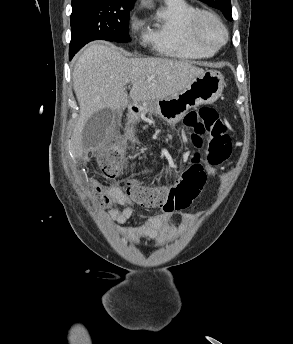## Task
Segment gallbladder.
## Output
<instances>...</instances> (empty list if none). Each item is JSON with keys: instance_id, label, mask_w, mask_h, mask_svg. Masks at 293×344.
Segmentation results:
<instances>
[{"instance_id": "bac80fb5", "label": "gallbladder", "mask_w": 293, "mask_h": 344, "mask_svg": "<svg viewBox=\"0 0 293 344\" xmlns=\"http://www.w3.org/2000/svg\"><path fill=\"white\" fill-rule=\"evenodd\" d=\"M114 117L115 112L113 110L104 108L88 118L82 131L84 149H95L104 142L107 130L112 125Z\"/></svg>"}]
</instances>
